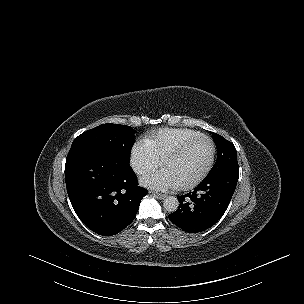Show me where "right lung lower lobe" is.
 Listing matches in <instances>:
<instances>
[{
    "instance_id": "98d812e1",
    "label": "right lung lower lobe",
    "mask_w": 304,
    "mask_h": 304,
    "mask_svg": "<svg viewBox=\"0 0 304 304\" xmlns=\"http://www.w3.org/2000/svg\"><path fill=\"white\" fill-rule=\"evenodd\" d=\"M65 180L77 216L103 236L115 235L127 227L147 194L138 186L130 166H118L110 151L90 145L70 149Z\"/></svg>"
}]
</instances>
